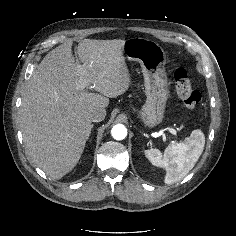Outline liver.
Here are the masks:
<instances>
[{"instance_id": "6515ba94", "label": "liver", "mask_w": 236, "mask_h": 236, "mask_svg": "<svg viewBox=\"0 0 236 236\" xmlns=\"http://www.w3.org/2000/svg\"><path fill=\"white\" fill-rule=\"evenodd\" d=\"M123 44L117 39L81 41L77 54L83 71L72 44H61L27 82L19 113L23 140L33 162L51 178L61 179L78 163L91 132L89 112L106 108L109 98L128 90Z\"/></svg>"}]
</instances>
